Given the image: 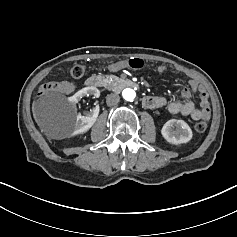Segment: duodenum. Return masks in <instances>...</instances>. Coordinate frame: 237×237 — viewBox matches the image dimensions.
Listing matches in <instances>:
<instances>
[{"instance_id": "obj_1", "label": "duodenum", "mask_w": 237, "mask_h": 237, "mask_svg": "<svg viewBox=\"0 0 237 237\" xmlns=\"http://www.w3.org/2000/svg\"><path fill=\"white\" fill-rule=\"evenodd\" d=\"M105 81L101 76H91L87 79L86 85L91 88H99L104 85ZM125 87L136 88L138 85L131 79H123L120 82Z\"/></svg>"}]
</instances>
